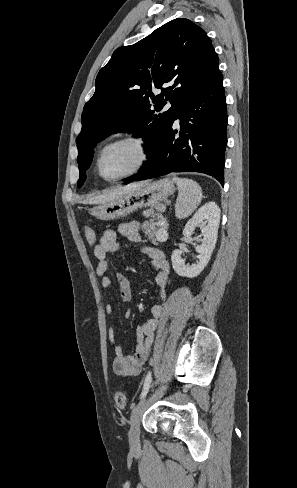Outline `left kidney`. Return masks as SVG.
Returning <instances> with one entry per match:
<instances>
[{
	"label": "left kidney",
	"mask_w": 297,
	"mask_h": 488,
	"mask_svg": "<svg viewBox=\"0 0 297 488\" xmlns=\"http://www.w3.org/2000/svg\"><path fill=\"white\" fill-rule=\"evenodd\" d=\"M219 222L220 209L215 202H208L189 219L183 230L184 237L189 238L196 226H200L203 238L199 240L201 244L197 247L198 261L193 264H185L181 258L184 250L173 251L172 267L179 276L194 278L207 266L217 241Z\"/></svg>",
	"instance_id": "1"
}]
</instances>
